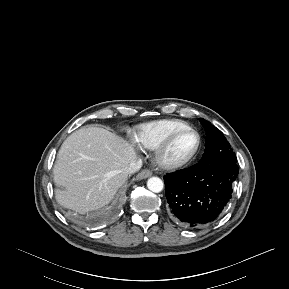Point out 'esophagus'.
Listing matches in <instances>:
<instances>
[{"mask_svg":"<svg viewBox=\"0 0 289 289\" xmlns=\"http://www.w3.org/2000/svg\"><path fill=\"white\" fill-rule=\"evenodd\" d=\"M152 175L150 170H143L137 175V179H146Z\"/></svg>","mask_w":289,"mask_h":289,"instance_id":"obj_1","label":"esophagus"}]
</instances>
